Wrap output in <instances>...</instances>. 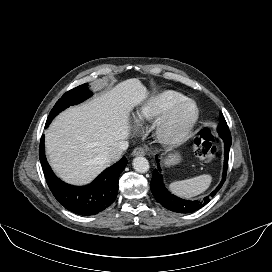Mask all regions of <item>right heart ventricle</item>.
Masks as SVG:
<instances>
[{"label":"right heart ventricle","instance_id":"obj_1","mask_svg":"<svg viewBox=\"0 0 272 272\" xmlns=\"http://www.w3.org/2000/svg\"><path fill=\"white\" fill-rule=\"evenodd\" d=\"M186 97L174 90H165L149 96L137 109L134 120L138 126H143L158 118L175 102Z\"/></svg>","mask_w":272,"mask_h":272}]
</instances>
